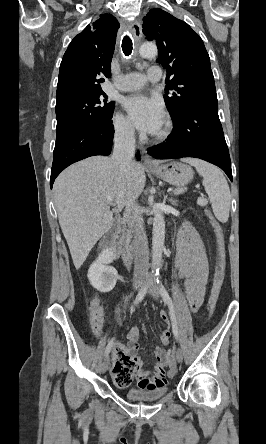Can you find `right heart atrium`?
<instances>
[{
  "mask_svg": "<svg viewBox=\"0 0 266 444\" xmlns=\"http://www.w3.org/2000/svg\"><path fill=\"white\" fill-rule=\"evenodd\" d=\"M115 134L122 140H130L134 136V128L131 121L122 113H117L113 118Z\"/></svg>",
  "mask_w": 266,
  "mask_h": 444,
  "instance_id": "obj_1",
  "label": "right heart atrium"
}]
</instances>
